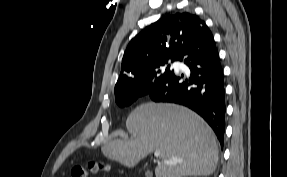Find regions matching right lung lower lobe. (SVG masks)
<instances>
[{"label":"right lung lower lobe","instance_id":"1","mask_svg":"<svg viewBox=\"0 0 287 177\" xmlns=\"http://www.w3.org/2000/svg\"><path fill=\"white\" fill-rule=\"evenodd\" d=\"M178 61L190 69L189 78L174 71L146 94L155 102L177 103L202 116L214 130L221 146L225 132V88L219 54L209 29L183 49Z\"/></svg>","mask_w":287,"mask_h":177}]
</instances>
